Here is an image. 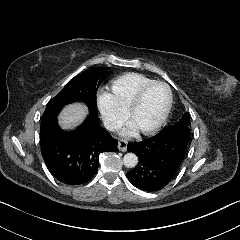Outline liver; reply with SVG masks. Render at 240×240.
Returning <instances> with one entry per match:
<instances>
[{"mask_svg": "<svg viewBox=\"0 0 240 240\" xmlns=\"http://www.w3.org/2000/svg\"><path fill=\"white\" fill-rule=\"evenodd\" d=\"M89 114V106L82 99L65 103L56 115L57 127L67 133L75 132L84 125Z\"/></svg>", "mask_w": 240, "mask_h": 240, "instance_id": "6515ba94", "label": "liver"}]
</instances>
